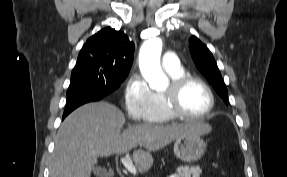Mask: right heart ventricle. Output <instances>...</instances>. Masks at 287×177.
<instances>
[{
    "instance_id": "right-heart-ventricle-1",
    "label": "right heart ventricle",
    "mask_w": 287,
    "mask_h": 177,
    "mask_svg": "<svg viewBox=\"0 0 287 177\" xmlns=\"http://www.w3.org/2000/svg\"><path fill=\"white\" fill-rule=\"evenodd\" d=\"M166 72L171 80H174L185 74L182 67H179L174 71H166ZM173 118L174 116L168 111L166 107L163 94L154 93V106L149 121L154 123H165L172 120Z\"/></svg>"
}]
</instances>
